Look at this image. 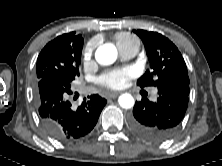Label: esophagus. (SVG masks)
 Segmentation results:
<instances>
[{"mask_svg":"<svg viewBox=\"0 0 222 166\" xmlns=\"http://www.w3.org/2000/svg\"><path fill=\"white\" fill-rule=\"evenodd\" d=\"M120 94H121V92H112V93L108 94L107 97L108 98H115Z\"/></svg>","mask_w":222,"mask_h":166,"instance_id":"esophagus-1","label":"esophagus"}]
</instances>
